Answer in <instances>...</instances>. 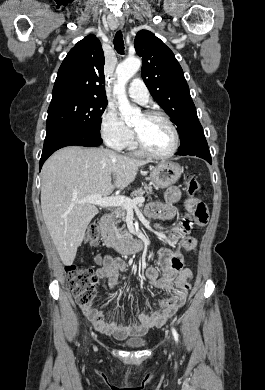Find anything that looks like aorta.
Returning a JSON list of instances; mask_svg holds the SVG:
<instances>
[{
	"label": "aorta",
	"mask_w": 265,
	"mask_h": 390,
	"mask_svg": "<svg viewBox=\"0 0 265 390\" xmlns=\"http://www.w3.org/2000/svg\"><path fill=\"white\" fill-rule=\"evenodd\" d=\"M140 67V59L128 58L118 64L116 68L117 82L114 85L113 93L117 97L121 117L128 125L139 119L141 111L139 108L131 106L126 95L125 85L140 69Z\"/></svg>",
	"instance_id": "aorta-1"
}]
</instances>
